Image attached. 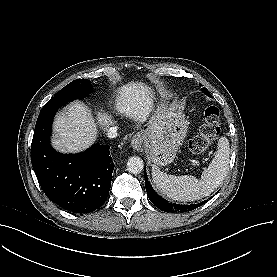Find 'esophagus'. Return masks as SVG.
I'll return each mask as SVG.
<instances>
[{"mask_svg": "<svg viewBox=\"0 0 277 277\" xmlns=\"http://www.w3.org/2000/svg\"><path fill=\"white\" fill-rule=\"evenodd\" d=\"M143 145H144V137L140 133L135 134L131 139V147L135 151H140Z\"/></svg>", "mask_w": 277, "mask_h": 277, "instance_id": "1", "label": "esophagus"}]
</instances>
